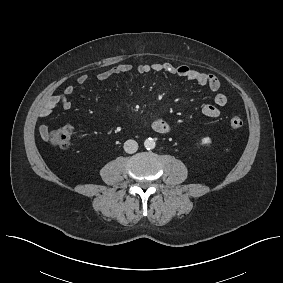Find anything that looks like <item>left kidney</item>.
Listing matches in <instances>:
<instances>
[{
	"label": "left kidney",
	"instance_id": "obj_1",
	"mask_svg": "<svg viewBox=\"0 0 283 283\" xmlns=\"http://www.w3.org/2000/svg\"><path fill=\"white\" fill-rule=\"evenodd\" d=\"M211 143H212V140H211V138L208 137V136L202 138V140H201V144H202V145L209 146Z\"/></svg>",
	"mask_w": 283,
	"mask_h": 283
}]
</instances>
